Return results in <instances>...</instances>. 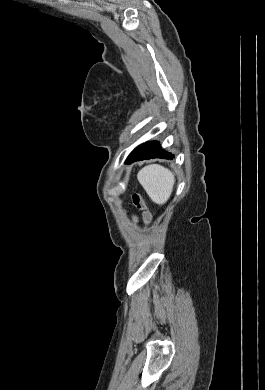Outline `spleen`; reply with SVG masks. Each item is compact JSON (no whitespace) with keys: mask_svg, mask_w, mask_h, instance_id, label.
I'll return each instance as SVG.
<instances>
[{"mask_svg":"<svg viewBox=\"0 0 265 390\" xmlns=\"http://www.w3.org/2000/svg\"><path fill=\"white\" fill-rule=\"evenodd\" d=\"M137 178L154 203L162 205L167 202L175 183L174 175L169 169L151 164L143 167Z\"/></svg>","mask_w":265,"mask_h":390,"instance_id":"spleen-1","label":"spleen"}]
</instances>
